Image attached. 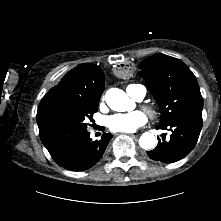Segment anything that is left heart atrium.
I'll return each instance as SVG.
<instances>
[{
	"label": "left heart atrium",
	"instance_id": "left-heart-atrium-1",
	"mask_svg": "<svg viewBox=\"0 0 221 221\" xmlns=\"http://www.w3.org/2000/svg\"><path fill=\"white\" fill-rule=\"evenodd\" d=\"M147 123V116L142 111L117 113L107 118L106 125L113 132L131 133Z\"/></svg>",
	"mask_w": 221,
	"mask_h": 221
}]
</instances>
